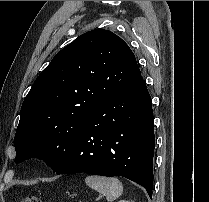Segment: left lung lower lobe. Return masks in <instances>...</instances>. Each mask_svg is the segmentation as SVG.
I'll use <instances>...</instances> for the list:
<instances>
[{
    "label": "left lung lower lobe",
    "instance_id": "left-lung-lower-lobe-1",
    "mask_svg": "<svg viewBox=\"0 0 209 202\" xmlns=\"http://www.w3.org/2000/svg\"><path fill=\"white\" fill-rule=\"evenodd\" d=\"M153 125L152 100L140 75L86 116L82 134L57 175L123 176L152 198Z\"/></svg>",
    "mask_w": 209,
    "mask_h": 202
}]
</instances>
